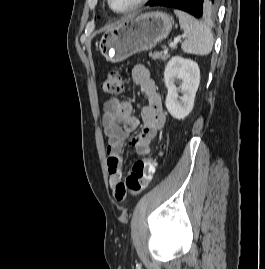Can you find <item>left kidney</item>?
Segmentation results:
<instances>
[{
	"label": "left kidney",
	"instance_id": "obj_1",
	"mask_svg": "<svg viewBox=\"0 0 265 269\" xmlns=\"http://www.w3.org/2000/svg\"><path fill=\"white\" fill-rule=\"evenodd\" d=\"M177 80L181 81L179 87L175 85ZM164 81L168 90L165 101L168 112L176 119H184L193 109L200 83L198 64L179 56L172 57L165 67ZM178 92H181L182 96H179Z\"/></svg>",
	"mask_w": 265,
	"mask_h": 269
}]
</instances>
